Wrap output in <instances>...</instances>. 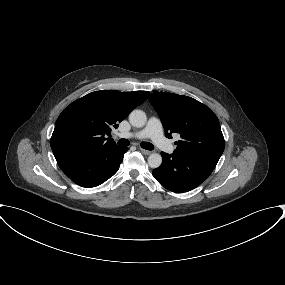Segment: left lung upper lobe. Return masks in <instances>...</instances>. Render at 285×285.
Listing matches in <instances>:
<instances>
[{
  "label": "left lung upper lobe",
  "instance_id": "obj_1",
  "mask_svg": "<svg viewBox=\"0 0 285 285\" xmlns=\"http://www.w3.org/2000/svg\"><path fill=\"white\" fill-rule=\"evenodd\" d=\"M149 101L157 111L165 135H180L175 154L216 166L225 148L220 123L213 111L199 101L172 93L155 92Z\"/></svg>",
  "mask_w": 285,
  "mask_h": 285
}]
</instances>
